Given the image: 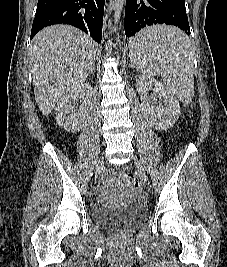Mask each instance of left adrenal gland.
Wrapping results in <instances>:
<instances>
[{"instance_id": "obj_1", "label": "left adrenal gland", "mask_w": 227, "mask_h": 267, "mask_svg": "<svg viewBox=\"0 0 227 267\" xmlns=\"http://www.w3.org/2000/svg\"><path fill=\"white\" fill-rule=\"evenodd\" d=\"M130 67L135 68V65H134V63H132V61H131Z\"/></svg>"}]
</instances>
